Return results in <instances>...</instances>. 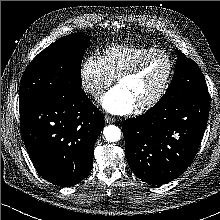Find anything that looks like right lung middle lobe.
Segmentation results:
<instances>
[{
    "label": "right lung middle lobe",
    "mask_w": 220,
    "mask_h": 220,
    "mask_svg": "<svg viewBox=\"0 0 220 220\" xmlns=\"http://www.w3.org/2000/svg\"><path fill=\"white\" fill-rule=\"evenodd\" d=\"M90 37L82 33L64 36L40 52L26 68L19 100L72 98L81 89V62Z\"/></svg>",
    "instance_id": "obj_1"
}]
</instances>
